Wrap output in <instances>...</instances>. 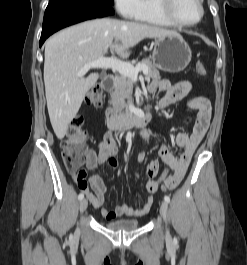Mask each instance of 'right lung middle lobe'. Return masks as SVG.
Wrapping results in <instances>:
<instances>
[{"mask_svg":"<svg viewBox=\"0 0 247 265\" xmlns=\"http://www.w3.org/2000/svg\"><path fill=\"white\" fill-rule=\"evenodd\" d=\"M56 1H60V0H50L49 3L56 2ZM90 1L103 2V3H107L109 5H112L114 3V0H90Z\"/></svg>","mask_w":247,"mask_h":265,"instance_id":"right-lung-middle-lobe-1","label":"right lung middle lobe"}]
</instances>
